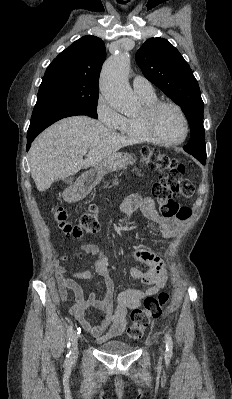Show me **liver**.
<instances>
[{
    "mask_svg": "<svg viewBox=\"0 0 232 399\" xmlns=\"http://www.w3.org/2000/svg\"><path fill=\"white\" fill-rule=\"evenodd\" d=\"M132 144H137L134 138L108 130L98 120L87 116L64 118L34 140L29 150L31 176L37 190L45 192L58 178L98 168L106 156ZM83 150H89L85 160Z\"/></svg>",
    "mask_w": 232,
    "mask_h": 399,
    "instance_id": "obj_1",
    "label": "liver"
}]
</instances>
